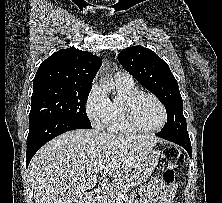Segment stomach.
<instances>
[{
    "label": "stomach",
    "instance_id": "0dacf381",
    "mask_svg": "<svg viewBox=\"0 0 222 203\" xmlns=\"http://www.w3.org/2000/svg\"><path fill=\"white\" fill-rule=\"evenodd\" d=\"M160 157V151L150 150L144 161L133 169L131 175L125 179V186L127 188L136 187L144 183L156 168Z\"/></svg>",
    "mask_w": 222,
    "mask_h": 203
}]
</instances>
